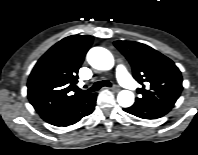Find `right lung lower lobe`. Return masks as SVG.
<instances>
[{
  "label": "right lung lower lobe",
  "mask_w": 198,
  "mask_h": 155,
  "mask_svg": "<svg viewBox=\"0 0 198 155\" xmlns=\"http://www.w3.org/2000/svg\"><path fill=\"white\" fill-rule=\"evenodd\" d=\"M97 93H88L76 102L41 115L42 119L54 126L75 124L94 110Z\"/></svg>",
  "instance_id": "obj_1"
}]
</instances>
